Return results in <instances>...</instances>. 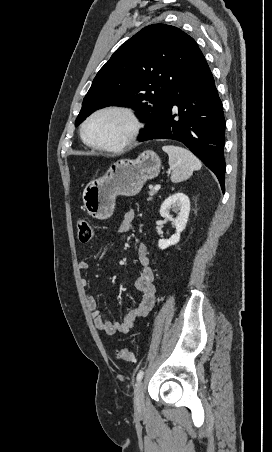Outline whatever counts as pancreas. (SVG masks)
Wrapping results in <instances>:
<instances>
[{"mask_svg": "<svg viewBox=\"0 0 272 452\" xmlns=\"http://www.w3.org/2000/svg\"><path fill=\"white\" fill-rule=\"evenodd\" d=\"M156 194V191L152 188V189H150V191H149V198H148V200H151L152 199V197L154 196Z\"/></svg>", "mask_w": 272, "mask_h": 452, "instance_id": "pancreas-1", "label": "pancreas"}]
</instances>
